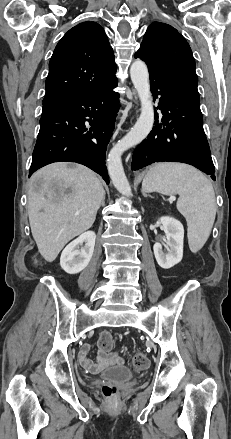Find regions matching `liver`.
I'll return each mask as SVG.
<instances>
[{
	"mask_svg": "<svg viewBox=\"0 0 231 439\" xmlns=\"http://www.w3.org/2000/svg\"><path fill=\"white\" fill-rule=\"evenodd\" d=\"M104 195L97 175L83 165L53 163L33 174L28 190L29 222L38 251L47 262H53L70 240L91 228Z\"/></svg>",
	"mask_w": 231,
	"mask_h": 439,
	"instance_id": "6515ba94",
	"label": "liver"
}]
</instances>
